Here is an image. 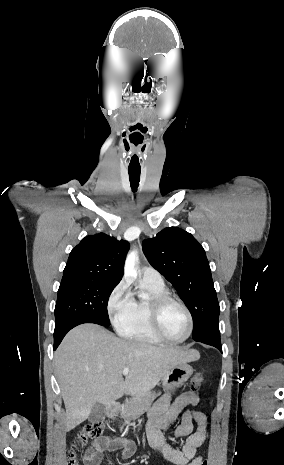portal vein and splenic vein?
<instances>
[{"label": "portal vein and splenic vein", "mask_w": 284, "mask_h": 465, "mask_svg": "<svg viewBox=\"0 0 284 465\" xmlns=\"http://www.w3.org/2000/svg\"><path fill=\"white\" fill-rule=\"evenodd\" d=\"M129 371H130L129 367H124L122 373L123 375H128Z\"/></svg>", "instance_id": "obj_1"}]
</instances>
